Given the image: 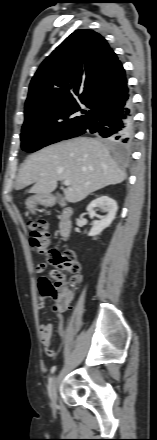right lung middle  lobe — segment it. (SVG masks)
I'll use <instances>...</instances> for the list:
<instances>
[{
	"mask_svg": "<svg viewBox=\"0 0 157 440\" xmlns=\"http://www.w3.org/2000/svg\"><path fill=\"white\" fill-rule=\"evenodd\" d=\"M84 125L25 122L22 127L21 148L26 152L37 151L52 143L77 137L82 134Z\"/></svg>",
	"mask_w": 157,
	"mask_h": 440,
	"instance_id": "right-lung-middle-lobe-1",
	"label": "right lung middle lobe"
}]
</instances>
